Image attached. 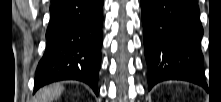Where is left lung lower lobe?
<instances>
[{"label":"left lung lower lobe","instance_id":"left-lung-lower-lobe-1","mask_svg":"<svg viewBox=\"0 0 221 102\" xmlns=\"http://www.w3.org/2000/svg\"><path fill=\"white\" fill-rule=\"evenodd\" d=\"M148 89L164 80L206 86L195 0H141Z\"/></svg>","mask_w":221,"mask_h":102}]
</instances>
